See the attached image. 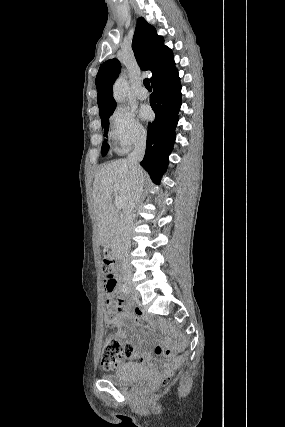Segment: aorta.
<instances>
[{
    "label": "aorta",
    "instance_id": "aorta-1",
    "mask_svg": "<svg viewBox=\"0 0 285 427\" xmlns=\"http://www.w3.org/2000/svg\"><path fill=\"white\" fill-rule=\"evenodd\" d=\"M128 89V82L126 80V77L122 74L116 80L113 86V96L116 102L122 103L125 101Z\"/></svg>",
    "mask_w": 285,
    "mask_h": 427
}]
</instances>
